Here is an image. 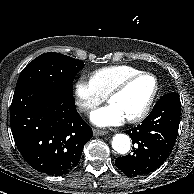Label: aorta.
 I'll list each match as a JSON object with an SVG mask.
<instances>
[{
	"label": "aorta",
	"mask_w": 194,
	"mask_h": 194,
	"mask_svg": "<svg viewBox=\"0 0 194 194\" xmlns=\"http://www.w3.org/2000/svg\"><path fill=\"white\" fill-rule=\"evenodd\" d=\"M131 142L126 134H115L112 139V148L119 154H126L130 150Z\"/></svg>",
	"instance_id": "aorta-1"
}]
</instances>
